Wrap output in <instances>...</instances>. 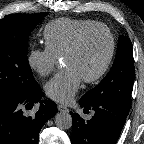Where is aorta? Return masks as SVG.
<instances>
[{"label": "aorta", "instance_id": "1", "mask_svg": "<svg viewBox=\"0 0 144 144\" xmlns=\"http://www.w3.org/2000/svg\"><path fill=\"white\" fill-rule=\"evenodd\" d=\"M54 121H55V125L59 129L66 130L72 127V117L67 112L57 113Z\"/></svg>", "mask_w": 144, "mask_h": 144}]
</instances>
